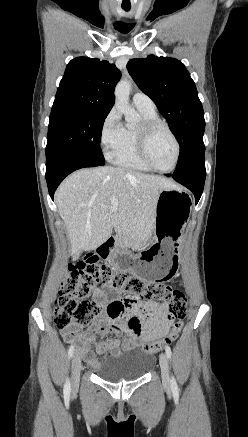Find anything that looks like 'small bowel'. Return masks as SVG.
I'll list each match as a JSON object with an SVG mask.
<instances>
[{
  "instance_id": "obj_1",
  "label": "small bowel",
  "mask_w": 248,
  "mask_h": 437,
  "mask_svg": "<svg viewBox=\"0 0 248 437\" xmlns=\"http://www.w3.org/2000/svg\"><path fill=\"white\" fill-rule=\"evenodd\" d=\"M93 293L99 302L108 306L107 313L98 316L91 331L79 334L76 326L61 330L66 342H76L79 345L81 353L92 368L100 365L95 352L99 355L119 354L126 349L161 338L170 330L171 322L168 320L166 303H140L129 298L127 294L112 292L110 285H101ZM121 332L125 333L123 341L118 338ZM96 333L103 338L98 340Z\"/></svg>"
}]
</instances>
